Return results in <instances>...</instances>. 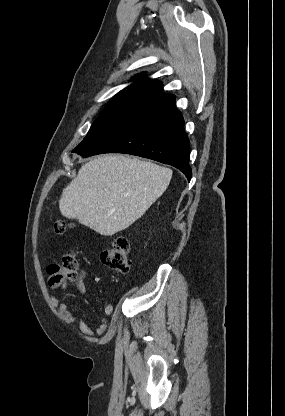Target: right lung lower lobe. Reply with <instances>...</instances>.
<instances>
[{"label":"right lung lower lobe","mask_w":285,"mask_h":416,"mask_svg":"<svg viewBox=\"0 0 285 416\" xmlns=\"http://www.w3.org/2000/svg\"><path fill=\"white\" fill-rule=\"evenodd\" d=\"M189 143L182 114L172 107L162 109L78 154L83 157L101 153L137 155L172 165L190 181Z\"/></svg>","instance_id":"right-lung-lower-lobe-1"}]
</instances>
